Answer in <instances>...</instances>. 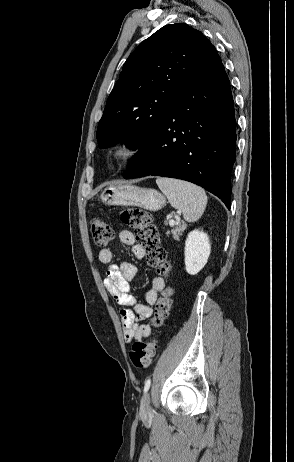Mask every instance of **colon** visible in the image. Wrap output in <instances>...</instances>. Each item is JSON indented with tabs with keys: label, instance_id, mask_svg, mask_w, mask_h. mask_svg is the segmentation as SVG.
Segmentation results:
<instances>
[{
	"label": "colon",
	"instance_id": "1",
	"mask_svg": "<svg viewBox=\"0 0 294 462\" xmlns=\"http://www.w3.org/2000/svg\"><path fill=\"white\" fill-rule=\"evenodd\" d=\"M120 217L122 222L133 230L137 245L144 251L148 264L156 268L160 275L167 277L170 273V264L167 261L166 251L161 245L151 214L140 208H128L121 212ZM89 227L92 239L99 247H105L113 236L111 225L102 218H91ZM171 296L172 289L167 287L156 304L154 317L151 321L156 329L164 324L169 314L172 303ZM157 346V337L148 342L136 341L129 353L133 366L137 369L147 368L155 356Z\"/></svg>",
	"mask_w": 294,
	"mask_h": 462
}]
</instances>
